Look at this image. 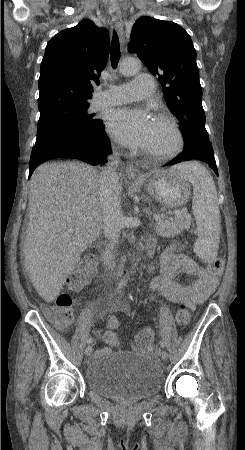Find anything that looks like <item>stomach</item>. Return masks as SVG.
<instances>
[{"label": "stomach", "mask_w": 245, "mask_h": 450, "mask_svg": "<svg viewBox=\"0 0 245 450\" xmlns=\"http://www.w3.org/2000/svg\"><path fill=\"white\" fill-rule=\"evenodd\" d=\"M148 193L167 208L185 205L191 196V186L183 178L177 167L154 171L146 185Z\"/></svg>", "instance_id": "0dacf381"}]
</instances>
